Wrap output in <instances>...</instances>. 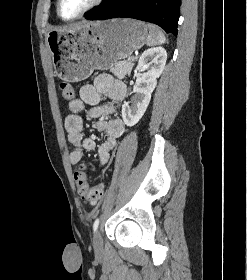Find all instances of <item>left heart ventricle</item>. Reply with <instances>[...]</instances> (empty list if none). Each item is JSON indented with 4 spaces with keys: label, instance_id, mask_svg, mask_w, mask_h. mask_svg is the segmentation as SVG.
Returning a JSON list of instances; mask_svg holds the SVG:
<instances>
[{
    "label": "left heart ventricle",
    "instance_id": "1",
    "mask_svg": "<svg viewBox=\"0 0 247 280\" xmlns=\"http://www.w3.org/2000/svg\"><path fill=\"white\" fill-rule=\"evenodd\" d=\"M92 0H62L61 15L64 18H72L86 8Z\"/></svg>",
    "mask_w": 247,
    "mask_h": 280
}]
</instances>
